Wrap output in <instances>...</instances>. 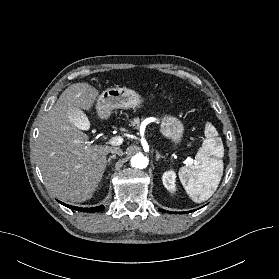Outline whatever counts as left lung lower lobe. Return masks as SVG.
<instances>
[{
    "mask_svg": "<svg viewBox=\"0 0 279 279\" xmlns=\"http://www.w3.org/2000/svg\"><path fill=\"white\" fill-rule=\"evenodd\" d=\"M161 211H164V210H161ZM164 212H166V211H164ZM168 212V211H167ZM181 213H185V212H181Z\"/></svg>",
    "mask_w": 279,
    "mask_h": 279,
    "instance_id": "1",
    "label": "left lung lower lobe"
}]
</instances>
